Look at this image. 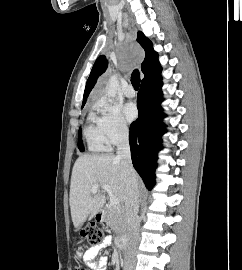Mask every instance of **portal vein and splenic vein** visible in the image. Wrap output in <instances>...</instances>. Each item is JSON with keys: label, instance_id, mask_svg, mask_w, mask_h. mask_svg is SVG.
<instances>
[{"label": "portal vein and splenic vein", "instance_id": "1", "mask_svg": "<svg viewBox=\"0 0 242 270\" xmlns=\"http://www.w3.org/2000/svg\"><path fill=\"white\" fill-rule=\"evenodd\" d=\"M99 187H101L102 189H104V191H106L109 194L110 203L112 205L117 206V205L120 204L119 199L115 195H113L112 190H111V187L109 185H107V184H101V185L94 184L93 187H92V189H91L92 193H96L97 190L99 189Z\"/></svg>", "mask_w": 242, "mask_h": 270}]
</instances>
